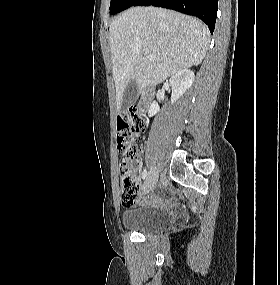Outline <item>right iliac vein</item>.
Here are the masks:
<instances>
[{
	"label": "right iliac vein",
	"mask_w": 280,
	"mask_h": 285,
	"mask_svg": "<svg viewBox=\"0 0 280 285\" xmlns=\"http://www.w3.org/2000/svg\"><path fill=\"white\" fill-rule=\"evenodd\" d=\"M158 181V171L156 168H152L145 180L144 183V191L146 193L150 192L151 190L154 189L156 183Z\"/></svg>",
	"instance_id": "obj_1"
}]
</instances>
